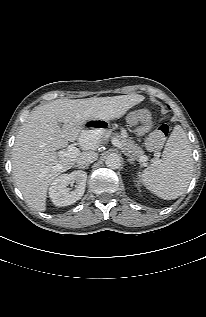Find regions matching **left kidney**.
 <instances>
[{"mask_svg": "<svg viewBox=\"0 0 206 317\" xmlns=\"http://www.w3.org/2000/svg\"><path fill=\"white\" fill-rule=\"evenodd\" d=\"M137 186H139V182H137Z\"/></svg>", "mask_w": 206, "mask_h": 317, "instance_id": "1", "label": "left kidney"}]
</instances>
